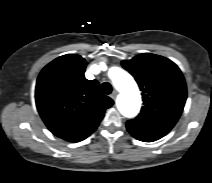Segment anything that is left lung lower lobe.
<instances>
[{"instance_id": "obj_1", "label": "left lung lower lobe", "mask_w": 212, "mask_h": 183, "mask_svg": "<svg viewBox=\"0 0 212 183\" xmlns=\"http://www.w3.org/2000/svg\"><path fill=\"white\" fill-rule=\"evenodd\" d=\"M128 131L136 139H138L140 141H144V142H152V141H155L162 137L159 135L149 134V133L141 132V131L134 130V129H128Z\"/></svg>"}]
</instances>
